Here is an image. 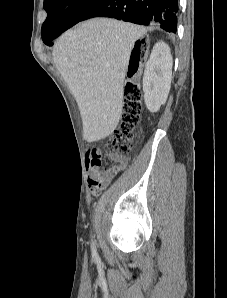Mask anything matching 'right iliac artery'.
Returning a JSON list of instances; mask_svg holds the SVG:
<instances>
[{"label":"right iliac artery","instance_id":"1","mask_svg":"<svg viewBox=\"0 0 227 298\" xmlns=\"http://www.w3.org/2000/svg\"><path fill=\"white\" fill-rule=\"evenodd\" d=\"M92 251H93V253L96 252L95 247H94V243H92Z\"/></svg>","mask_w":227,"mask_h":298}]
</instances>
